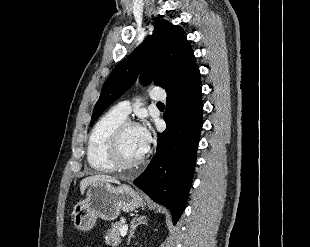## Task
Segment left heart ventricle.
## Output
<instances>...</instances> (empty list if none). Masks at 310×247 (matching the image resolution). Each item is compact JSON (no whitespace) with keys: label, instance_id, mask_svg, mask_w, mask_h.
Masks as SVG:
<instances>
[{"label":"left heart ventricle","instance_id":"left-heart-ventricle-1","mask_svg":"<svg viewBox=\"0 0 310 247\" xmlns=\"http://www.w3.org/2000/svg\"><path fill=\"white\" fill-rule=\"evenodd\" d=\"M122 157L125 162H133L143 156L144 150L139 137L138 127H130L124 133L122 144Z\"/></svg>","mask_w":310,"mask_h":247}]
</instances>
